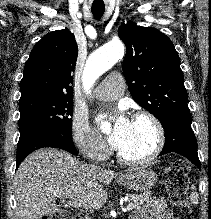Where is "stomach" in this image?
<instances>
[{
  "label": "stomach",
  "mask_w": 211,
  "mask_h": 219,
  "mask_svg": "<svg viewBox=\"0 0 211 219\" xmlns=\"http://www.w3.org/2000/svg\"><path fill=\"white\" fill-rule=\"evenodd\" d=\"M157 179L156 172L145 167H140L135 169L133 173L119 178V182L128 189L146 192L156 184Z\"/></svg>",
  "instance_id": "0dacf381"
}]
</instances>
